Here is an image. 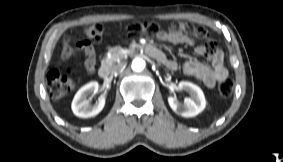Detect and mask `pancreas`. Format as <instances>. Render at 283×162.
Masks as SVG:
<instances>
[{
    "label": "pancreas",
    "instance_id": "pancreas-1",
    "mask_svg": "<svg viewBox=\"0 0 283 162\" xmlns=\"http://www.w3.org/2000/svg\"><path fill=\"white\" fill-rule=\"evenodd\" d=\"M110 57L105 56L101 64L104 66H112L115 62L121 61L124 57L125 54L121 51L119 47H115L109 51Z\"/></svg>",
    "mask_w": 283,
    "mask_h": 162
}]
</instances>
